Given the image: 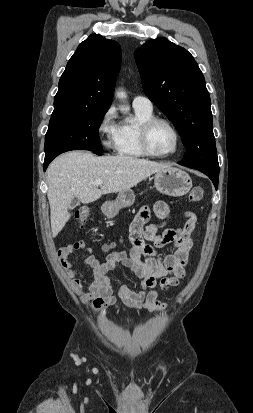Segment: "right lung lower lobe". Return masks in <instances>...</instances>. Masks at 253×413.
I'll use <instances>...</instances> for the list:
<instances>
[{"label":"right lung lower lobe","instance_id":"obj_1","mask_svg":"<svg viewBox=\"0 0 253 413\" xmlns=\"http://www.w3.org/2000/svg\"><path fill=\"white\" fill-rule=\"evenodd\" d=\"M95 154L97 155H102L103 151H94ZM54 159V158H53ZM53 159H47L44 161V171L46 170V168L48 167L49 163L53 160Z\"/></svg>","mask_w":253,"mask_h":413}]
</instances>
